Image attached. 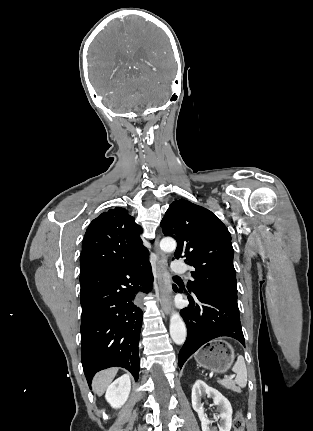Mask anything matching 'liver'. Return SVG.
<instances>
[{"label":"liver","mask_w":313,"mask_h":431,"mask_svg":"<svg viewBox=\"0 0 313 431\" xmlns=\"http://www.w3.org/2000/svg\"><path fill=\"white\" fill-rule=\"evenodd\" d=\"M117 372H118L117 368H110L99 372L95 376L93 381V388H94V392L98 396H101L105 392V390L108 388L110 383L115 378Z\"/></svg>","instance_id":"obj_1"}]
</instances>
